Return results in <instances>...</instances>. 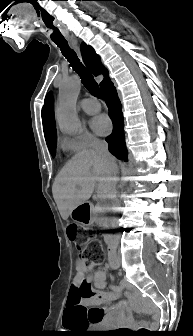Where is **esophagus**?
<instances>
[{
    "instance_id": "esophagus-1",
    "label": "esophagus",
    "mask_w": 193,
    "mask_h": 336,
    "mask_svg": "<svg viewBox=\"0 0 193 336\" xmlns=\"http://www.w3.org/2000/svg\"><path fill=\"white\" fill-rule=\"evenodd\" d=\"M75 49H76L77 53L80 55V49H79V47L76 44H75Z\"/></svg>"
}]
</instances>
